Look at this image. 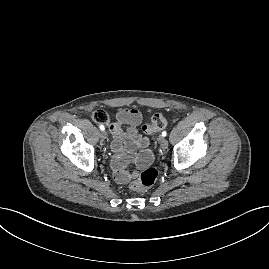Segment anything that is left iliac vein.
Listing matches in <instances>:
<instances>
[{
  "label": "left iliac vein",
  "instance_id": "1",
  "mask_svg": "<svg viewBox=\"0 0 269 269\" xmlns=\"http://www.w3.org/2000/svg\"><path fill=\"white\" fill-rule=\"evenodd\" d=\"M159 143H160V146L163 150L167 149L168 148V141L166 138L164 137H160L159 139Z\"/></svg>",
  "mask_w": 269,
  "mask_h": 269
}]
</instances>
